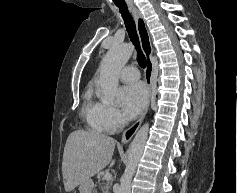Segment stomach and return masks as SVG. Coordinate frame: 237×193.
I'll list each match as a JSON object with an SVG mask.
<instances>
[{
	"label": "stomach",
	"instance_id": "stomach-1",
	"mask_svg": "<svg viewBox=\"0 0 237 193\" xmlns=\"http://www.w3.org/2000/svg\"><path fill=\"white\" fill-rule=\"evenodd\" d=\"M93 186V181L91 179H87L79 185V191L80 193H92Z\"/></svg>",
	"mask_w": 237,
	"mask_h": 193
}]
</instances>
